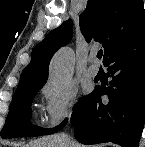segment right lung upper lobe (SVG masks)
Returning <instances> with one entry per match:
<instances>
[{"instance_id":"obj_1","label":"right lung upper lobe","mask_w":145,"mask_h":147,"mask_svg":"<svg viewBox=\"0 0 145 147\" xmlns=\"http://www.w3.org/2000/svg\"><path fill=\"white\" fill-rule=\"evenodd\" d=\"M143 7L142 0H88L80 15V28L86 41L94 39L102 43L105 50L103 63L128 37L145 27ZM72 33V20L69 19L35 46L16 90L46 83L52 56L69 43Z\"/></svg>"}]
</instances>
